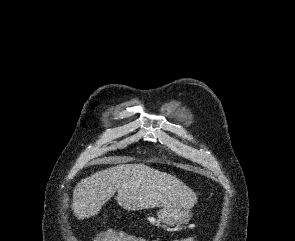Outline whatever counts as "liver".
Instances as JSON below:
<instances>
[{"label":"liver","mask_w":295,"mask_h":241,"mask_svg":"<svg viewBox=\"0 0 295 241\" xmlns=\"http://www.w3.org/2000/svg\"><path fill=\"white\" fill-rule=\"evenodd\" d=\"M116 192L118 204L134 211L190 209L197 202L196 194L175 176L144 164H118L81 180L73 191L72 210L79 220L93 217Z\"/></svg>","instance_id":"obj_1"}]
</instances>
